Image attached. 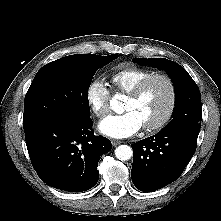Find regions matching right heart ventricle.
I'll return each mask as SVG.
<instances>
[{
    "label": "right heart ventricle",
    "mask_w": 221,
    "mask_h": 221,
    "mask_svg": "<svg viewBox=\"0 0 221 221\" xmlns=\"http://www.w3.org/2000/svg\"><path fill=\"white\" fill-rule=\"evenodd\" d=\"M153 73L137 66H126L111 76V82L117 92L128 94L142 79Z\"/></svg>",
    "instance_id": "1"
}]
</instances>
